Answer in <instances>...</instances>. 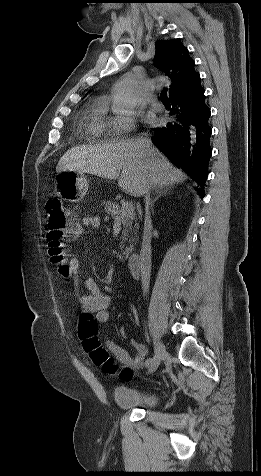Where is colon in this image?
Masks as SVG:
<instances>
[{"mask_svg":"<svg viewBox=\"0 0 261 476\" xmlns=\"http://www.w3.org/2000/svg\"><path fill=\"white\" fill-rule=\"evenodd\" d=\"M47 219V240L48 254L51 261L59 267V271L64 276L69 274L66 264L67 253L65 249L66 241L74 235L77 227L75 215L67 210L60 199L53 198L47 201L45 206ZM79 336L82 340L85 351L89 354L92 362L101 366L106 373L116 371V366L110 358L108 351L102 347L97 337L98 326L94 316L90 313H83L80 317ZM132 377V370L125 368L121 372V378L129 380Z\"/></svg>","mask_w":261,"mask_h":476,"instance_id":"obj_1","label":"colon"}]
</instances>
